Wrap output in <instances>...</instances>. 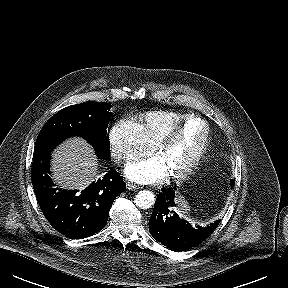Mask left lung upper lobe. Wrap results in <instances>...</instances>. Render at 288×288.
<instances>
[{
    "mask_svg": "<svg viewBox=\"0 0 288 288\" xmlns=\"http://www.w3.org/2000/svg\"><path fill=\"white\" fill-rule=\"evenodd\" d=\"M234 179L231 180V186H234Z\"/></svg>",
    "mask_w": 288,
    "mask_h": 288,
    "instance_id": "left-lung-upper-lobe-1",
    "label": "left lung upper lobe"
}]
</instances>
